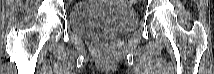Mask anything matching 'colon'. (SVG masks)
I'll return each instance as SVG.
<instances>
[{
	"mask_svg": "<svg viewBox=\"0 0 214 74\" xmlns=\"http://www.w3.org/2000/svg\"><path fill=\"white\" fill-rule=\"evenodd\" d=\"M135 3V0H128V1H126V4L128 5V6H131L132 4H134ZM107 41H109V39H107Z\"/></svg>",
	"mask_w": 214,
	"mask_h": 74,
	"instance_id": "colon-1",
	"label": "colon"
}]
</instances>
